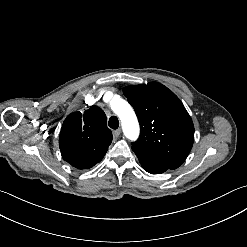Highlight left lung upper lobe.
<instances>
[{"instance_id": "5c2ea615", "label": "left lung upper lobe", "mask_w": 247, "mask_h": 247, "mask_svg": "<svg viewBox=\"0 0 247 247\" xmlns=\"http://www.w3.org/2000/svg\"><path fill=\"white\" fill-rule=\"evenodd\" d=\"M123 92L140 123V137L132 143L135 154L168 169L181 166L193 145L194 125L179 98L157 82Z\"/></svg>"}]
</instances>
